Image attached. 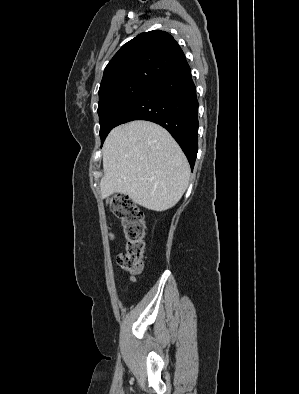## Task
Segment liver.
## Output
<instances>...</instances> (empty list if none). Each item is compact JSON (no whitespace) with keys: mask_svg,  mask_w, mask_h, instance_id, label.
Listing matches in <instances>:
<instances>
[{"mask_svg":"<svg viewBox=\"0 0 299 394\" xmlns=\"http://www.w3.org/2000/svg\"><path fill=\"white\" fill-rule=\"evenodd\" d=\"M103 171L102 197L121 193L157 212L181 199L190 177L187 158L168 131L143 120L109 133L103 145Z\"/></svg>","mask_w":299,"mask_h":394,"instance_id":"obj_1","label":"liver"}]
</instances>
